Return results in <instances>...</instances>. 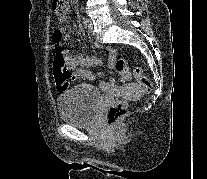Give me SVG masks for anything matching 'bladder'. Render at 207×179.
<instances>
[{"label": "bladder", "mask_w": 207, "mask_h": 179, "mask_svg": "<svg viewBox=\"0 0 207 179\" xmlns=\"http://www.w3.org/2000/svg\"><path fill=\"white\" fill-rule=\"evenodd\" d=\"M101 107V94L91 85L67 87L58 96V110L63 122L83 127L92 125Z\"/></svg>", "instance_id": "1"}]
</instances>
